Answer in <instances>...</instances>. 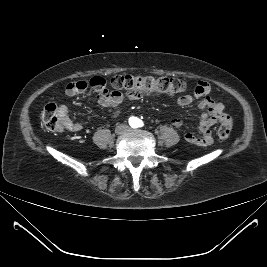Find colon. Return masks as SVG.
<instances>
[{"mask_svg": "<svg viewBox=\"0 0 267 267\" xmlns=\"http://www.w3.org/2000/svg\"><path fill=\"white\" fill-rule=\"evenodd\" d=\"M113 91L124 93L132 97L143 96H173L181 93L186 88V83L178 78L157 77L152 75H118L110 80ZM44 126L51 131H61L63 129L57 106L49 103L42 113ZM220 126L217 135L220 139H227L232 131V119L227 114L219 117Z\"/></svg>", "mask_w": 267, "mask_h": 267, "instance_id": "5ec220e1", "label": "colon"}]
</instances>
